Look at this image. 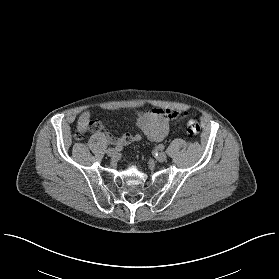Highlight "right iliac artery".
<instances>
[{
  "instance_id": "82829eb1",
  "label": "right iliac artery",
  "mask_w": 279,
  "mask_h": 279,
  "mask_svg": "<svg viewBox=\"0 0 279 279\" xmlns=\"http://www.w3.org/2000/svg\"><path fill=\"white\" fill-rule=\"evenodd\" d=\"M115 150H116V152L121 151L122 150V146H116Z\"/></svg>"
}]
</instances>
